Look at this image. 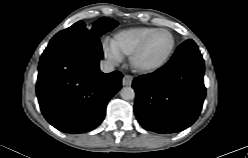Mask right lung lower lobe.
<instances>
[{"instance_id": "obj_1", "label": "right lung lower lobe", "mask_w": 248, "mask_h": 158, "mask_svg": "<svg viewBox=\"0 0 248 158\" xmlns=\"http://www.w3.org/2000/svg\"><path fill=\"white\" fill-rule=\"evenodd\" d=\"M99 37L55 35L39 62L36 92L46 120L65 133H84L104 119L109 100L120 90L123 75L99 69Z\"/></svg>"}]
</instances>
